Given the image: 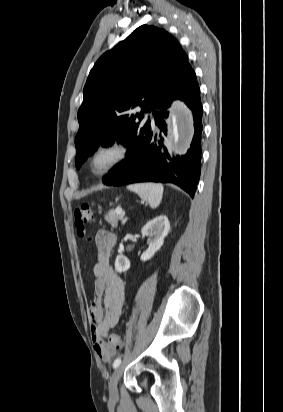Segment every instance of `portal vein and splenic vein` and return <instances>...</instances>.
<instances>
[{
    "mask_svg": "<svg viewBox=\"0 0 283 412\" xmlns=\"http://www.w3.org/2000/svg\"><path fill=\"white\" fill-rule=\"evenodd\" d=\"M115 212H116L118 215H120V216L123 214L122 209L119 208V207H117V208L115 209Z\"/></svg>",
    "mask_w": 283,
    "mask_h": 412,
    "instance_id": "portal-vein-and-splenic-vein-1",
    "label": "portal vein and splenic vein"
}]
</instances>
